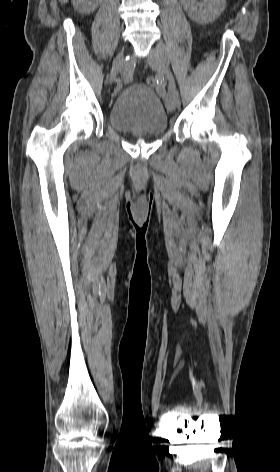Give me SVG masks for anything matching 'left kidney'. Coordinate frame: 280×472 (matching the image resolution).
<instances>
[{"label": "left kidney", "instance_id": "5707ae66", "mask_svg": "<svg viewBox=\"0 0 280 472\" xmlns=\"http://www.w3.org/2000/svg\"><path fill=\"white\" fill-rule=\"evenodd\" d=\"M184 10L196 23L205 24L216 20L225 7V0H180ZM200 6V9H198Z\"/></svg>", "mask_w": 280, "mask_h": 472}]
</instances>
